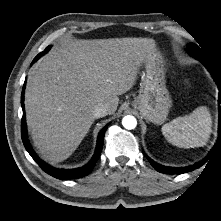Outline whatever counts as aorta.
<instances>
[{
  "label": "aorta",
  "mask_w": 221,
  "mask_h": 221,
  "mask_svg": "<svg viewBox=\"0 0 221 221\" xmlns=\"http://www.w3.org/2000/svg\"><path fill=\"white\" fill-rule=\"evenodd\" d=\"M122 125L124 128L131 130L134 129L137 125V120L132 115H127L122 119Z\"/></svg>",
  "instance_id": "1"
}]
</instances>
